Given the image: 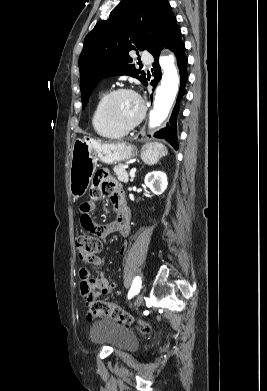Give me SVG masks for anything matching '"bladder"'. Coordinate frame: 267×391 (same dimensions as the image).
Here are the masks:
<instances>
[{
	"label": "bladder",
	"instance_id": "31cf9c89",
	"mask_svg": "<svg viewBox=\"0 0 267 391\" xmlns=\"http://www.w3.org/2000/svg\"><path fill=\"white\" fill-rule=\"evenodd\" d=\"M91 340L97 344H107L116 350H132L137 345L135 334L110 319H100L90 329Z\"/></svg>",
	"mask_w": 267,
	"mask_h": 391
}]
</instances>
